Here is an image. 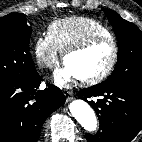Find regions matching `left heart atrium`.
I'll return each instance as SVG.
<instances>
[{
    "instance_id": "39dd6f15",
    "label": "left heart atrium",
    "mask_w": 142,
    "mask_h": 142,
    "mask_svg": "<svg viewBox=\"0 0 142 142\" xmlns=\"http://www.w3.org/2000/svg\"><path fill=\"white\" fill-rule=\"evenodd\" d=\"M75 79H78L74 70L64 62V64L59 67L53 75V80L56 85L58 86H66L67 84L71 83Z\"/></svg>"
}]
</instances>
